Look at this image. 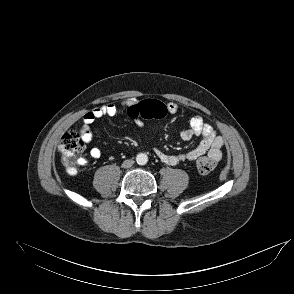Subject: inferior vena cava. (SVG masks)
Returning <instances> with one entry per match:
<instances>
[{"mask_svg":"<svg viewBox=\"0 0 294 294\" xmlns=\"http://www.w3.org/2000/svg\"><path fill=\"white\" fill-rule=\"evenodd\" d=\"M133 164H134V160L127 159L122 163L121 167L122 168H130Z\"/></svg>","mask_w":294,"mask_h":294,"instance_id":"obj_1","label":"inferior vena cava"}]
</instances>
